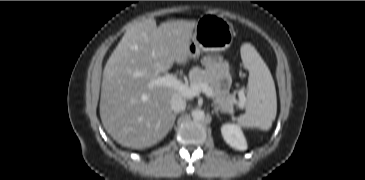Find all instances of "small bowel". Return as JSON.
<instances>
[{
	"label": "small bowel",
	"mask_w": 365,
	"mask_h": 180,
	"mask_svg": "<svg viewBox=\"0 0 365 180\" xmlns=\"http://www.w3.org/2000/svg\"><path fill=\"white\" fill-rule=\"evenodd\" d=\"M203 64L216 83L228 86L231 82V72L227 63L222 62L218 56L209 55L203 59Z\"/></svg>",
	"instance_id": "c3829d8e"
}]
</instances>
